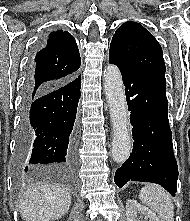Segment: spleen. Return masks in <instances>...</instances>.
Returning <instances> with one entry per match:
<instances>
[{
    "label": "spleen",
    "instance_id": "3e777b00",
    "mask_svg": "<svg viewBox=\"0 0 190 221\" xmlns=\"http://www.w3.org/2000/svg\"><path fill=\"white\" fill-rule=\"evenodd\" d=\"M139 199L155 211L161 221H174V205L170 195L158 185H145L141 188Z\"/></svg>",
    "mask_w": 190,
    "mask_h": 221
}]
</instances>
